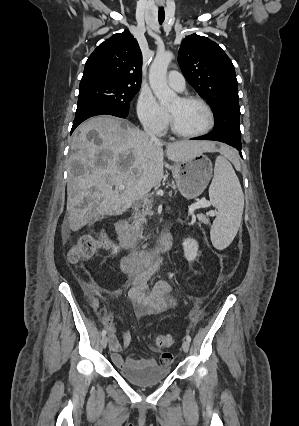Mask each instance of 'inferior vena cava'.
Listing matches in <instances>:
<instances>
[{
    "label": "inferior vena cava",
    "instance_id": "1",
    "mask_svg": "<svg viewBox=\"0 0 299 426\" xmlns=\"http://www.w3.org/2000/svg\"><path fill=\"white\" fill-rule=\"evenodd\" d=\"M146 133L150 137L151 142H159V139L155 136V134L152 131H150L149 129H146Z\"/></svg>",
    "mask_w": 299,
    "mask_h": 426
}]
</instances>
